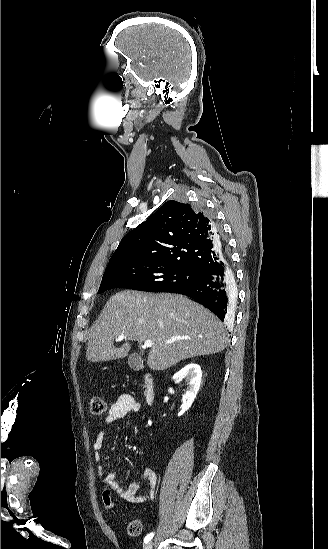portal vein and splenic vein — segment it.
Masks as SVG:
<instances>
[{"instance_id":"portal-vein-and-splenic-vein-1","label":"portal vein and splenic vein","mask_w":328,"mask_h":549,"mask_svg":"<svg viewBox=\"0 0 328 549\" xmlns=\"http://www.w3.org/2000/svg\"><path fill=\"white\" fill-rule=\"evenodd\" d=\"M123 339H126L125 335H119L116 341H123ZM177 339H182V337H171L170 341H167L165 345H169V343H174V341H177ZM152 345H153L152 341H145L143 345V349H148V347H152Z\"/></svg>"}]
</instances>
